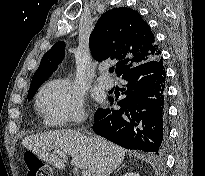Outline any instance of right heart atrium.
<instances>
[{
  "instance_id": "1",
  "label": "right heart atrium",
  "mask_w": 205,
  "mask_h": 176,
  "mask_svg": "<svg viewBox=\"0 0 205 176\" xmlns=\"http://www.w3.org/2000/svg\"><path fill=\"white\" fill-rule=\"evenodd\" d=\"M36 106L43 121L54 127L78 122L85 115L83 93L62 79L52 80L39 90Z\"/></svg>"
}]
</instances>
